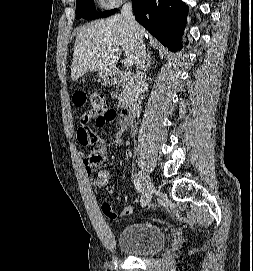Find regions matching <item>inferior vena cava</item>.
I'll use <instances>...</instances> for the list:
<instances>
[{
	"label": "inferior vena cava",
	"instance_id": "inferior-vena-cava-1",
	"mask_svg": "<svg viewBox=\"0 0 253 271\" xmlns=\"http://www.w3.org/2000/svg\"><path fill=\"white\" fill-rule=\"evenodd\" d=\"M121 15L126 19L129 23L132 31L135 34V37L139 41V50L136 57L137 64V72H136V85H135V98L138 101L140 99V95L142 93L143 87L145 86L144 81V69H145V60H146V51L145 45L143 43L144 29L136 22L131 2L125 3L121 10ZM133 127V126H132ZM135 130L133 129V135L135 134Z\"/></svg>",
	"mask_w": 253,
	"mask_h": 271
}]
</instances>
